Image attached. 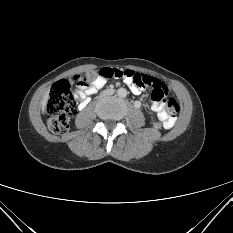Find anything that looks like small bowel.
I'll use <instances>...</instances> for the list:
<instances>
[{"instance_id": "1", "label": "small bowel", "mask_w": 233, "mask_h": 233, "mask_svg": "<svg viewBox=\"0 0 233 233\" xmlns=\"http://www.w3.org/2000/svg\"><path fill=\"white\" fill-rule=\"evenodd\" d=\"M125 82L130 86L134 94H139L141 92L140 88L132 85L127 80ZM107 83V79L103 77L97 78L88 88L79 90L77 92L78 98L80 100L79 107L82 109L86 107L89 102V96L96 93ZM167 89V88H166ZM153 108L157 112L158 118L166 123V127L169 128L174 124V119L168 117L164 110V106L161 103L153 102Z\"/></svg>"}]
</instances>
